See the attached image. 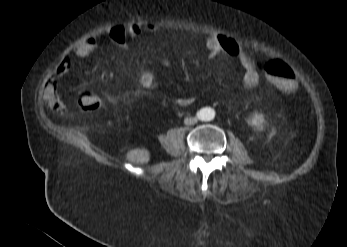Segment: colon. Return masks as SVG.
I'll return each instance as SVG.
<instances>
[{"label": "colon", "instance_id": "obj_1", "mask_svg": "<svg viewBox=\"0 0 347 247\" xmlns=\"http://www.w3.org/2000/svg\"><path fill=\"white\" fill-rule=\"evenodd\" d=\"M266 72L271 85L279 92L292 93L297 89V81L290 66L282 61L270 62ZM80 109L93 111L101 106V99L93 92L82 93L77 98Z\"/></svg>", "mask_w": 347, "mask_h": 247}]
</instances>
